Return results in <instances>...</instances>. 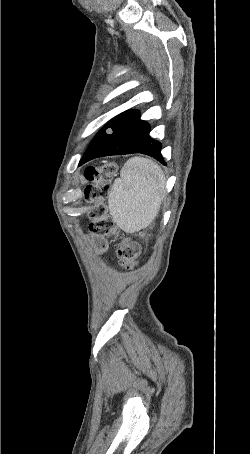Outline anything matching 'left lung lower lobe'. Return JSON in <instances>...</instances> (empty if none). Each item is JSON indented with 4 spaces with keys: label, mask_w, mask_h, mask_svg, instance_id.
<instances>
[{
    "label": "left lung lower lobe",
    "mask_w": 250,
    "mask_h": 454,
    "mask_svg": "<svg viewBox=\"0 0 250 454\" xmlns=\"http://www.w3.org/2000/svg\"><path fill=\"white\" fill-rule=\"evenodd\" d=\"M109 129L108 131H106ZM150 126L138 111H126L109 121L94 137L79 165L97 157L142 153L166 165L161 144L149 136Z\"/></svg>",
    "instance_id": "left-lung-lower-lobe-1"
}]
</instances>
